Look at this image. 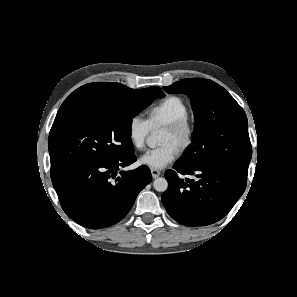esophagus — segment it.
<instances>
[{"label": "esophagus", "instance_id": "obj_1", "mask_svg": "<svg viewBox=\"0 0 297 297\" xmlns=\"http://www.w3.org/2000/svg\"><path fill=\"white\" fill-rule=\"evenodd\" d=\"M151 174L153 178H157L160 176L161 172L158 169H151Z\"/></svg>", "mask_w": 297, "mask_h": 297}]
</instances>
